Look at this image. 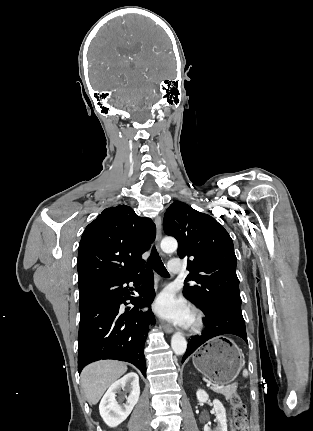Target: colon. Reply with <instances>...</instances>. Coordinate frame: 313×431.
<instances>
[{"instance_id":"1","label":"colon","mask_w":313,"mask_h":431,"mask_svg":"<svg viewBox=\"0 0 313 431\" xmlns=\"http://www.w3.org/2000/svg\"><path fill=\"white\" fill-rule=\"evenodd\" d=\"M233 431H247V408L239 396L231 398Z\"/></svg>"}]
</instances>
